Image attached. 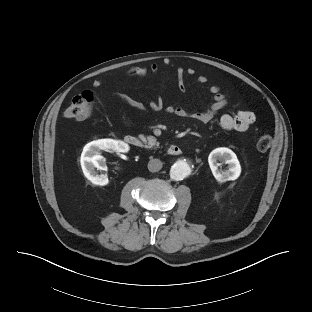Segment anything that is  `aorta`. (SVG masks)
<instances>
[{
  "instance_id": "762f6f07",
  "label": "aorta",
  "mask_w": 312,
  "mask_h": 312,
  "mask_svg": "<svg viewBox=\"0 0 312 312\" xmlns=\"http://www.w3.org/2000/svg\"><path fill=\"white\" fill-rule=\"evenodd\" d=\"M190 171V165L184 160H179L171 167L170 177L176 181L183 180L190 174Z\"/></svg>"
}]
</instances>
